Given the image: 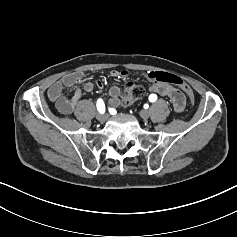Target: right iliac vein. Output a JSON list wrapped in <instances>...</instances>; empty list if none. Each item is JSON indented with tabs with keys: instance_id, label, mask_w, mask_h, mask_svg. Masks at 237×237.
<instances>
[{
	"instance_id": "1",
	"label": "right iliac vein",
	"mask_w": 237,
	"mask_h": 237,
	"mask_svg": "<svg viewBox=\"0 0 237 237\" xmlns=\"http://www.w3.org/2000/svg\"><path fill=\"white\" fill-rule=\"evenodd\" d=\"M96 118L98 121L104 122L106 120V115L105 114H97Z\"/></svg>"
}]
</instances>
